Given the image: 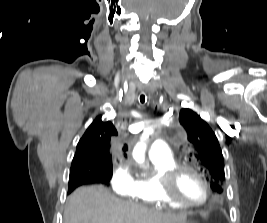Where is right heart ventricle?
Returning <instances> with one entry per match:
<instances>
[{
	"instance_id": "e07e8e85",
	"label": "right heart ventricle",
	"mask_w": 267,
	"mask_h": 223,
	"mask_svg": "<svg viewBox=\"0 0 267 223\" xmlns=\"http://www.w3.org/2000/svg\"><path fill=\"white\" fill-rule=\"evenodd\" d=\"M150 160L152 162L151 172L136 176L133 187L127 195L136 201L148 203L156 207L171 206L185 210L184 206L167 202L160 191L159 177L164 171L175 165V160L172 157L168 159L150 157Z\"/></svg>"
}]
</instances>
